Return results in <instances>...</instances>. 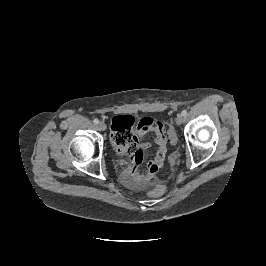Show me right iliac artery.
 I'll return each instance as SVG.
<instances>
[{
  "mask_svg": "<svg viewBox=\"0 0 266 266\" xmlns=\"http://www.w3.org/2000/svg\"><path fill=\"white\" fill-rule=\"evenodd\" d=\"M93 122H94L95 124H98V123H99V120H98V119H94Z\"/></svg>",
  "mask_w": 266,
  "mask_h": 266,
  "instance_id": "1",
  "label": "right iliac artery"
}]
</instances>
